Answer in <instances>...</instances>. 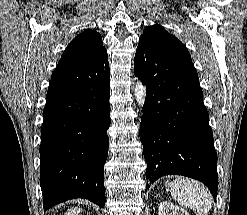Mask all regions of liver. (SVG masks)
Instances as JSON below:
<instances>
[{
    "label": "liver",
    "mask_w": 247,
    "mask_h": 215,
    "mask_svg": "<svg viewBox=\"0 0 247 215\" xmlns=\"http://www.w3.org/2000/svg\"><path fill=\"white\" fill-rule=\"evenodd\" d=\"M80 212V209L78 207L71 208L68 212H66L65 215H78Z\"/></svg>",
    "instance_id": "1"
}]
</instances>
